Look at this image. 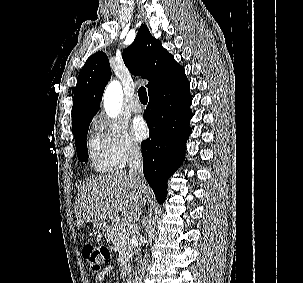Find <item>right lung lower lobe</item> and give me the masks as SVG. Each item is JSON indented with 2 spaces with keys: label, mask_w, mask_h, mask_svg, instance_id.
<instances>
[{
  "label": "right lung lower lobe",
  "mask_w": 303,
  "mask_h": 283,
  "mask_svg": "<svg viewBox=\"0 0 303 283\" xmlns=\"http://www.w3.org/2000/svg\"><path fill=\"white\" fill-rule=\"evenodd\" d=\"M190 85L185 73L149 95L145 119L149 138L142 142L144 176L158 202L167 194V181L183 162L192 112Z\"/></svg>",
  "instance_id": "98d812e1"
}]
</instances>
